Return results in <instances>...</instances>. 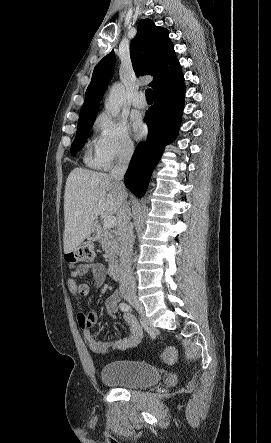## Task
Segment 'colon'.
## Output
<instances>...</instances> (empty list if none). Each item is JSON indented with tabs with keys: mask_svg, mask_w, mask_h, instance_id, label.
Listing matches in <instances>:
<instances>
[{
	"mask_svg": "<svg viewBox=\"0 0 271 443\" xmlns=\"http://www.w3.org/2000/svg\"><path fill=\"white\" fill-rule=\"evenodd\" d=\"M95 249L90 243H83L76 249L65 254V260L69 266L73 267L78 263H90L95 258ZM75 274V273H74ZM82 295L88 292V287L83 285L80 287ZM177 357V350L173 346L167 347L162 353V359L165 363L172 364Z\"/></svg>",
	"mask_w": 271,
	"mask_h": 443,
	"instance_id": "colon-1",
	"label": "colon"
}]
</instances>
